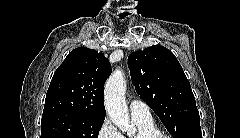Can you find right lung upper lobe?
Wrapping results in <instances>:
<instances>
[{
	"mask_svg": "<svg viewBox=\"0 0 240 138\" xmlns=\"http://www.w3.org/2000/svg\"><path fill=\"white\" fill-rule=\"evenodd\" d=\"M110 73L102 53L85 47L72 50L53 75L43 116L72 113L104 119V83Z\"/></svg>",
	"mask_w": 240,
	"mask_h": 138,
	"instance_id": "cb5924a9",
	"label": "right lung upper lobe"
}]
</instances>
